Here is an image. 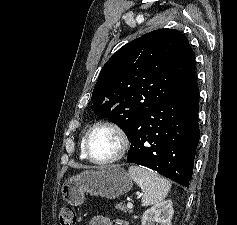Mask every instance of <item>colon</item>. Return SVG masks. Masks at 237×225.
I'll list each match as a JSON object with an SVG mask.
<instances>
[{"mask_svg":"<svg viewBox=\"0 0 237 225\" xmlns=\"http://www.w3.org/2000/svg\"><path fill=\"white\" fill-rule=\"evenodd\" d=\"M77 221V215L73 207L64 206L59 212L60 225H75Z\"/></svg>","mask_w":237,"mask_h":225,"instance_id":"1","label":"colon"}]
</instances>
